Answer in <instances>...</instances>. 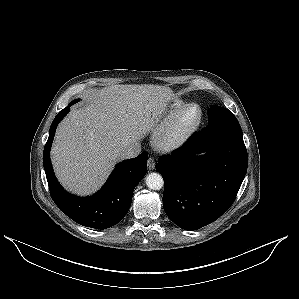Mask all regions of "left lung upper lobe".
<instances>
[{"instance_id": "5c2ea615", "label": "left lung upper lobe", "mask_w": 299, "mask_h": 299, "mask_svg": "<svg viewBox=\"0 0 299 299\" xmlns=\"http://www.w3.org/2000/svg\"><path fill=\"white\" fill-rule=\"evenodd\" d=\"M228 111L230 110L219 106H211V108L208 109V124H210L211 121L214 120L215 118L221 116L222 114Z\"/></svg>"}]
</instances>
